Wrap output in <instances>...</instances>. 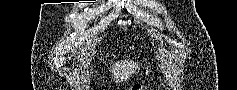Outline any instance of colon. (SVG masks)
I'll return each instance as SVG.
<instances>
[{
    "instance_id": "1",
    "label": "colon",
    "mask_w": 237,
    "mask_h": 90,
    "mask_svg": "<svg viewBox=\"0 0 237 90\" xmlns=\"http://www.w3.org/2000/svg\"><path fill=\"white\" fill-rule=\"evenodd\" d=\"M132 90H142L141 85H135Z\"/></svg>"
}]
</instances>
